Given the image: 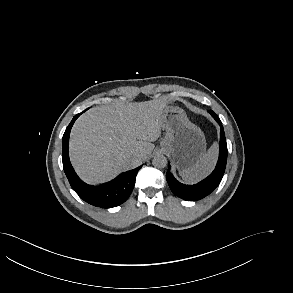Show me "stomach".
<instances>
[{
  "instance_id": "obj_1",
  "label": "stomach",
  "mask_w": 293,
  "mask_h": 293,
  "mask_svg": "<svg viewBox=\"0 0 293 293\" xmlns=\"http://www.w3.org/2000/svg\"><path fill=\"white\" fill-rule=\"evenodd\" d=\"M161 125L166 131L161 148L171 155L178 170L191 167L205 154L204 133L189 121L183 109L167 107L162 113Z\"/></svg>"
}]
</instances>
